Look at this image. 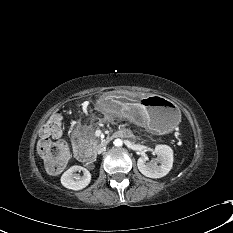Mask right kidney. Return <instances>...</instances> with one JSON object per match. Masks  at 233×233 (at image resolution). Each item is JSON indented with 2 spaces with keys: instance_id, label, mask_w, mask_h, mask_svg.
Masks as SVG:
<instances>
[{
  "instance_id": "1",
  "label": "right kidney",
  "mask_w": 233,
  "mask_h": 233,
  "mask_svg": "<svg viewBox=\"0 0 233 233\" xmlns=\"http://www.w3.org/2000/svg\"><path fill=\"white\" fill-rule=\"evenodd\" d=\"M77 171H83V176L76 174ZM91 181V174L90 172L81 167L74 165L66 170L63 175L61 176V184L72 190H81L88 186Z\"/></svg>"
}]
</instances>
